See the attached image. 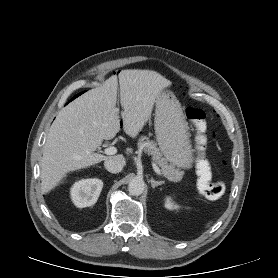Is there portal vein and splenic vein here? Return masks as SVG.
<instances>
[{
    "instance_id": "obj_1",
    "label": "portal vein and splenic vein",
    "mask_w": 278,
    "mask_h": 278,
    "mask_svg": "<svg viewBox=\"0 0 278 278\" xmlns=\"http://www.w3.org/2000/svg\"><path fill=\"white\" fill-rule=\"evenodd\" d=\"M104 152L107 155H114V154L117 153V148L114 147V146H110V147L106 148L104 150ZM153 169H154L155 173H157L158 175L162 176L161 170L158 168V166L155 163H153Z\"/></svg>"
}]
</instances>
